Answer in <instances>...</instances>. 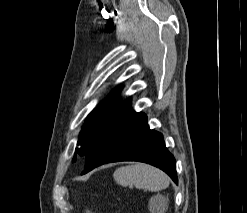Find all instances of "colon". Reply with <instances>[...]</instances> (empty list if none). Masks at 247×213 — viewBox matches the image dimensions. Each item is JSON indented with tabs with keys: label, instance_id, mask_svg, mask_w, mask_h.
<instances>
[{
	"label": "colon",
	"instance_id": "5ec220e1",
	"mask_svg": "<svg viewBox=\"0 0 247 213\" xmlns=\"http://www.w3.org/2000/svg\"><path fill=\"white\" fill-rule=\"evenodd\" d=\"M85 213H92V211L87 209Z\"/></svg>",
	"mask_w": 247,
	"mask_h": 213
}]
</instances>
